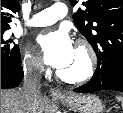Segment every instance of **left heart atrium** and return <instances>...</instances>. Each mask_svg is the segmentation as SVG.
<instances>
[{
  "label": "left heart atrium",
  "mask_w": 123,
  "mask_h": 113,
  "mask_svg": "<svg viewBox=\"0 0 123 113\" xmlns=\"http://www.w3.org/2000/svg\"><path fill=\"white\" fill-rule=\"evenodd\" d=\"M48 65L61 69L67 65L74 54V47L67 31L59 29L40 35L37 39Z\"/></svg>",
  "instance_id": "39dd6f15"
}]
</instances>
